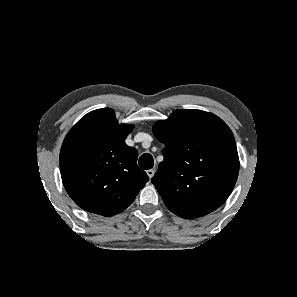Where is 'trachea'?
Masks as SVG:
<instances>
[{
  "label": "trachea",
  "instance_id": "3493384b",
  "mask_svg": "<svg viewBox=\"0 0 297 297\" xmlns=\"http://www.w3.org/2000/svg\"><path fill=\"white\" fill-rule=\"evenodd\" d=\"M138 164L144 170L151 169L154 165L153 157L150 154L145 153L139 158Z\"/></svg>",
  "mask_w": 297,
  "mask_h": 297
}]
</instances>
